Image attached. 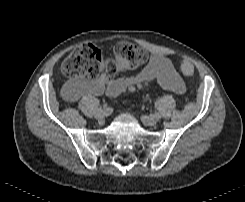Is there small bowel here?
<instances>
[{"label":"small bowel","mask_w":245,"mask_h":202,"mask_svg":"<svg viewBox=\"0 0 245 202\" xmlns=\"http://www.w3.org/2000/svg\"><path fill=\"white\" fill-rule=\"evenodd\" d=\"M187 62L189 61L182 60L180 67ZM152 82L174 93L182 94L186 91V85L172 63L165 57L156 54L151 56L148 64L139 73L124 79L111 80L104 73L95 79H77L75 87L66 98V103L78 104L83 99L102 94L117 97L127 91L144 89Z\"/></svg>","instance_id":"small-bowel-1"}]
</instances>
